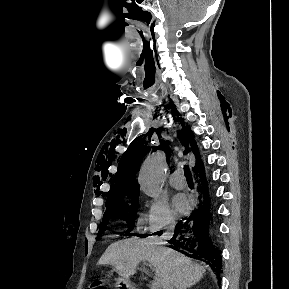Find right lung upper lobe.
Returning <instances> with one entry per match:
<instances>
[{"label":"right lung upper lobe","instance_id":"right-lung-upper-lobe-1","mask_svg":"<svg viewBox=\"0 0 289 289\" xmlns=\"http://www.w3.org/2000/svg\"><path fill=\"white\" fill-rule=\"evenodd\" d=\"M178 120H181V118ZM182 124V131H178L179 137L185 146V152H188L191 149L196 156V164L193 170L197 176L203 173L204 168L201 164L197 145L193 139L194 135L189 126L185 127L183 122ZM149 150L150 148L147 146V142H139L137 145H132L130 148H128L122 155L119 162L118 171L113 179L114 183L107 194L108 198L106 204L118 202L131 198L135 195H139L135 175L139 169L141 159Z\"/></svg>","mask_w":289,"mask_h":289}]
</instances>
